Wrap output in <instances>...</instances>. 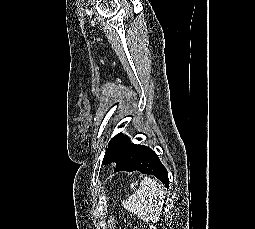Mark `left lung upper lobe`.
I'll list each match as a JSON object with an SVG mask.
<instances>
[{
	"label": "left lung upper lobe",
	"mask_w": 255,
	"mask_h": 229,
	"mask_svg": "<svg viewBox=\"0 0 255 229\" xmlns=\"http://www.w3.org/2000/svg\"><path fill=\"white\" fill-rule=\"evenodd\" d=\"M128 144H129L128 137L124 136L121 133L113 137L108 144V148L106 149V153L102 163L103 164L111 163L113 158L123 153V151L126 149Z\"/></svg>",
	"instance_id": "5c2ea615"
}]
</instances>
